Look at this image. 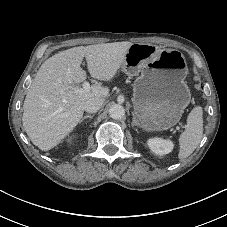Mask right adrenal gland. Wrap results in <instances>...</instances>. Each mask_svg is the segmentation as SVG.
Returning <instances> with one entry per match:
<instances>
[{
  "mask_svg": "<svg viewBox=\"0 0 227 227\" xmlns=\"http://www.w3.org/2000/svg\"><path fill=\"white\" fill-rule=\"evenodd\" d=\"M93 117H94V114L93 115H85L84 117H82L80 123H82L87 118L92 119Z\"/></svg>",
  "mask_w": 227,
  "mask_h": 227,
  "instance_id": "1",
  "label": "right adrenal gland"
}]
</instances>
